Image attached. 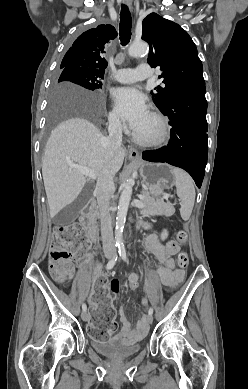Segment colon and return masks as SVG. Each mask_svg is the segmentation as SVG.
Here are the masks:
<instances>
[{
	"mask_svg": "<svg viewBox=\"0 0 248 389\" xmlns=\"http://www.w3.org/2000/svg\"><path fill=\"white\" fill-rule=\"evenodd\" d=\"M178 242L185 244L187 242V233L180 231L177 235ZM87 250V242L82 229L78 225L56 226L50 242L49 251V271L54 279L63 283L71 275L73 266L71 261H82ZM178 264L185 269L189 264V255L186 251L178 254ZM110 279L109 273H100L93 282L95 295L92 297L93 305L89 306V311L93 312V320L90 326L84 327L85 333L95 338L96 344H107L112 338L109 331L117 328L116 311L111 304V292L104 289ZM140 279L135 277L128 282L130 291H139ZM146 299V296H143Z\"/></svg>",
	"mask_w": 248,
	"mask_h": 389,
	"instance_id": "1",
	"label": "colon"
}]
</instances>
